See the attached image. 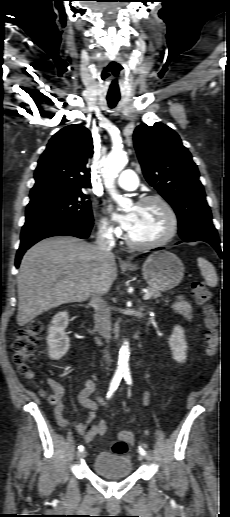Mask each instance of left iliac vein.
Here are the masks:
<instances>
[{"instance_id": "4c4485c4", "label": "left iliac vein", "mask_w": 230, "mask_h": 517, "mask_svg": "<svg viewBox=\"0 0 230 517\" xmlns=\"http://www.w3.org/2000/svg\"><path fill=\"white\" fill-rule=\"evenodd\" d=\"M141 458H145L146 460L148 461H151V456L149 454H146V455H142Z\"/></svg>"}]
</instances>
